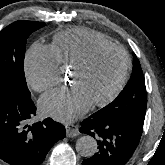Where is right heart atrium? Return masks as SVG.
<instances>
[{
    "label": "right heart atrium",
    "mask_w": 165,
    "mask_h": 165,
    "mask_svg": "<svg viewBox=\"0 0 165 165\" xmlns=\"http://www.w3.org/2000/svg\"><path fill=\"white\" fill-rule=\"evenodd\" d=\"M28 85L36 92H44L60 81L59 61L52 47L34 44L25 58Z\"/></svg>",
    "instance_id": "obj_1"
}]
</instances>
